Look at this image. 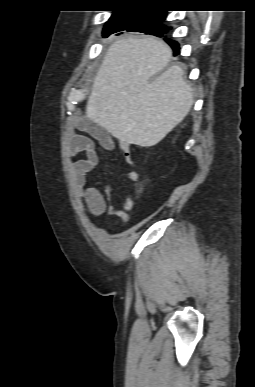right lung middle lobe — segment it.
Instances as JSON below:
<instances>
[{
    "mask_svg": "<svg viewBox=\"0 0 255 387\" xmlns=\"http://www.w3.org/2000/svg\"><path fill=\"white\" fill-rule=\"evenodd\" d=\"M165 11L159 12H129L113 14L104 27L103 36L127 30L134 32H156L164 33L167 28L161 25L165 19Z\"/></svg>",
    "mask_w": 255,
    "mask_h": 387,
    "instance_id": "right-lung-middle-lobe-1",
    "label": "right lung middle lobe"
}]
</instances>
